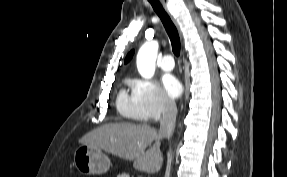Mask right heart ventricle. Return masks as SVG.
I'll return each mask as SVG.
<instances>
[{"label": "right heart ventricle", "instance_id": "right-heart-ventricle-1", "mask_svg": "<svg viewBox=\"0 0 287 177\" xmlns=\"http://www.w3.org/2000/svg\"><path fill=\"white\" fill-rule=\"evenodd\" d=\"M117 109L119 113L131 119H136V103L133 94L128 95L126 90L122 89L117 97Z\"/></svg>", "mask_w": 287, "mask_h": 177}]
</instances>
